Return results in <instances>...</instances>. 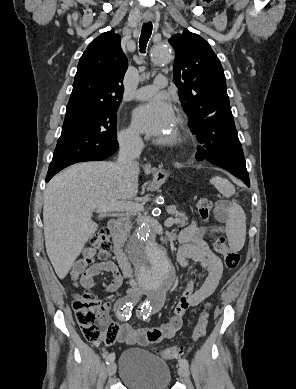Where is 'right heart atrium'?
Returning <instances> with one entry per match:
<instances>
[{
	"label": "right heart atrium",
	"mask_w": 296,
	"mask_h": 389,
	"mask_svg": "<svg viewBox=\"0 0 296 389\" xmlns=\"http://www.w3.org/2000/svg\"><path fill=\"white\" fill-rule=\"evenodd\" d=\"M138 136L131 128L123 129L119 134V142L122 147L130 148L138 143Z\"/></svg>",
	"instance_id": "1"
}]
</instances>
